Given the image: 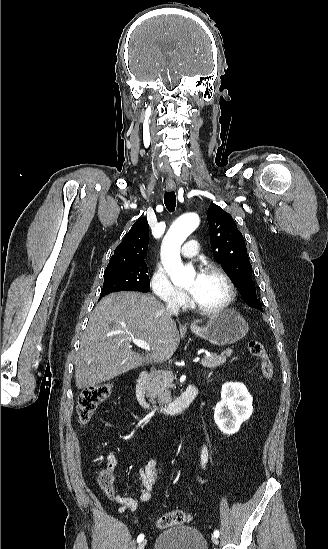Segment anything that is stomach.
Masks as SVG:
<instances>
[{
	"instance_id": "stomach-1",
	"label": "stomach",
	"mask_w": 328,
	"mask_h": 549,
	"mask_svg": "<svg viewBox=\"0 0 328 549\" xmlns=\"http://www.w3.org/2000/svg\"><path fill=\"white\" fill-rule=\"evenodd\" d=\"M248 323L235 309H225L222 313L209 317L207 323L198 327L192 325L191 331L197 337L209 341L212 345H231L246 337Z\"/></svg>"
}]
</instances>
